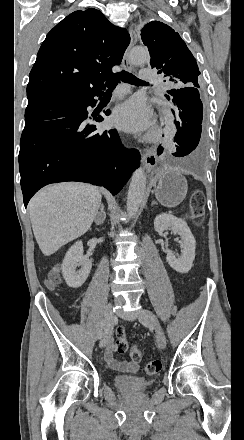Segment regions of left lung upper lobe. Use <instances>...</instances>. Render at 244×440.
<instances>
[{"label":"left lung upper lobe","instance_id":"5c2ea615","mask_svg":"<svg viewBox=\"0 0 244 440\" xmlns=\"http://www.w3.org/2000/svg\"><path fill=\"white\" fill-rule=\"evenodd\" d=\"M142 41L150 52L152 68L169 78V81L200 87V71L196 59L179 34L168 25L151 21L141 30Z\"/></svg>","mask_w":244,"mask_h":440}]
</instances>
